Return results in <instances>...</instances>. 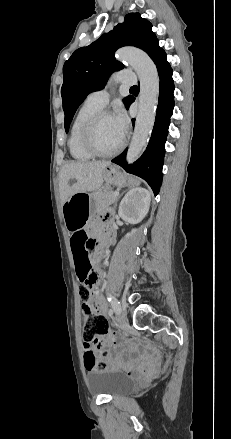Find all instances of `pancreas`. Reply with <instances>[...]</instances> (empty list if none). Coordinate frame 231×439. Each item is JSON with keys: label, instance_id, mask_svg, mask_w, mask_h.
Segmentation results:
<instances>
[{"label": "pancreas", "instance_id": "1", "mask_svg": "<svg viewBox=\"0 0 231 439\" xmlns=\"http://www.w3.org/2000/svg\"><path fill=\"white\" fill-rule=\"evenodd\" d=\"M113 193L114 192L112 191V189L107 188L99 194L95 195L94 199L99 210L106 208L108 205L112 204L116 200V197L113 195Z\"/></svg>", "mask_w": 231, "mask_h": 439}]
</instances>
